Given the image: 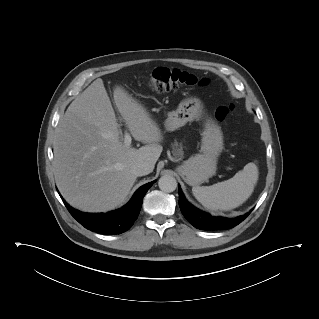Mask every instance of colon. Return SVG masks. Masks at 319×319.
<instances>
[{"label":"colon","instance_id":"colon-1","mask_svg":"<svg viewBox=\"0 0 319 319\" xmlns=\"http://www.w3.org/2000/svg\"><path fill=\"white\" fill-rule=\"evenodd\" d=\"M206 80L198 79L193 74L178 69L165 67L156 68L148 82V86L159 93L177 91L182 87L205 85ZM232 109L231 105H221L216 109L215 117L218 121H224Z\"/></svg>","mask_w":319,"mask_h":319}]
</instances>
